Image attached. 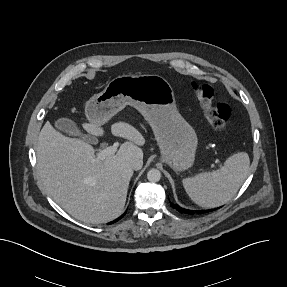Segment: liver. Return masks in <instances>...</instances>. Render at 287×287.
I'll return each mask as SVG.
<instances>
[{
    "label": "liver",
    "mask_w": 287,
    "mask_h": 287,
    "mask_svg": "<svg viewBox=\"0 0 287 287\" xmlns=\"http://www.w3.org/2000/svg\"><path fill=\"white\" fill-rule=\"evenodd\" d=\"M84 128L91 135H104L101 124L86 123ZM111 132L128 141L104 160L97 158L90 144L62 135L49 122L39 133L37 166L47 192L66 212L86 223H106L122 213L133 176L128 163L143 159L139 146L145 139L134 126L117 122Z\"/></svg>",
    "instance_id": "liver-1"
}]
</instances>
